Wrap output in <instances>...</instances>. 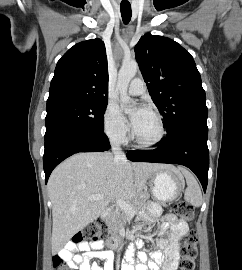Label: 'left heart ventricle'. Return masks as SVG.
I'll return each instance as SVG.
<instances>
[{
  "label": "left heart ventricle",
  "mask_w": 242,
  "mask_h": 270,
  "mask_svg": "<svg viewBox=\"0 0 242 270\" xmlns=\"http://www.w3.org/2000/svg\"><path fill=\"white\" fill-rule=\"evenodd\" d=\"M135 136L141 141H152L159 133L156 118L148 112L143 116L138 125L134 128Z\"/></svg>",
  "instance_id": "left-heart-ventricle-1"
}]
</instances>
